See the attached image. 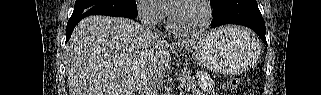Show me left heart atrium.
<instances>
[{
	"instance_id": "1",
	"label": "left heart atrium",
	"mask_w": 321,
	"mask_h": 95,
	"mask_svg": "<svg viewBox=\"0 0 321 95\" xmlns=\"http://www.w3.org/2000/svg\"><path fill=\"white\" fill-rule=\"evenodd\" d=\"M174 8H171V7H169V9H168V13H170L171 14V12H172V10H173Z\"/></svg>"
}]
</instances>
